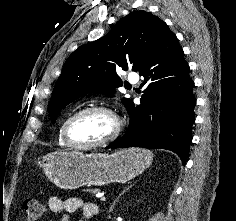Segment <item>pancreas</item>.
Returning a JSON list of instances; mask_svg holds the SVG:
<instances>
[{
	"instance_id": "pancreas-1",
	"label": "pancreas",
	"mask_w": 236,
	"mask_h": 221,
	"mask_svg": "<svg viewBox=\"0 0 236 221\" xmlns=\"http://www.w3.org/2000/svg\"><path fill=\"white\" fill-rule=\"evenodd\" d=\"M88 192L89 193H97V192H99V190L98 189H89Z\"/></svg>"
}]
</instances>
